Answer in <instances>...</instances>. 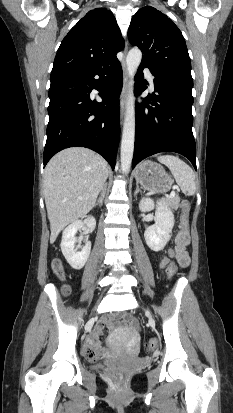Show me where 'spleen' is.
<instances>
[{
	"mask_svg": "<svg viewBox=\"0 0 233 413\" xmlns=\"http://www.w3.org/2000/svg\"><path fill=\"white\" fill-rule=\"evenodd\" d=\"M158 161L169 168L184 194L188 196L194 195L196 190L195 174L189 165L172 155L160 156Z\"/></svg>",
	"mask_w": 233,
	"mask_h": 413,
	"instance_id": "obj_1",
	"label": "spleen"
}]
</instances>
